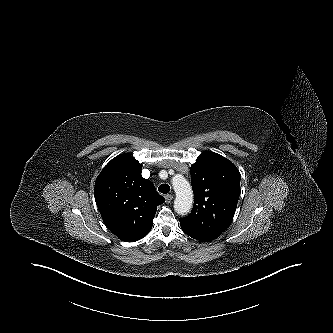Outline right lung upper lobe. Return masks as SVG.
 <instances>
[{"instance_id": "cb5924a9", "label": "right lung upper lobe", "mask_w": 333, "mask_h": 333, "mask_svg": "<svg viewBox=\"0 0 333 333\" xmlns=\"http://www.w3.org/2000/svg\"><path fill=\"white\" fill-rule=\"evenodd\" d=\"M141 170L142 164L122 154L103 168L95 182V201L105 225L126 242L150 232L157 206L165 202Z\"/></svg>"}]
</instances>
